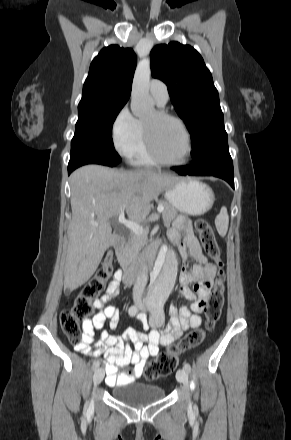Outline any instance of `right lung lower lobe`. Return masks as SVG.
<instances>
[{"label":"right lung lower lobe","mask_w":291,"mask_h":440,"mask_svg":"<svg viewBox=\"0 0 291 440\" xmlns=\"http://www.w3.org/2000/svg\"><path fill=\"white\" fill-rule=\"evenodd\" d=\"M85 164H101V165H106V166H110V167L117 166V164H115V163L111 162L110 160L103 158V157L86 155V154H78V155L70 157V161L68 164V175L76 168H78L82 165H85Z\"/></svg>","instance_id":"right-lung-lower-lobe-1"}]
</instances>
